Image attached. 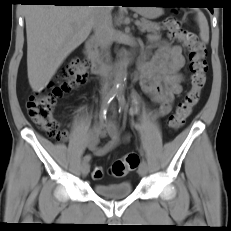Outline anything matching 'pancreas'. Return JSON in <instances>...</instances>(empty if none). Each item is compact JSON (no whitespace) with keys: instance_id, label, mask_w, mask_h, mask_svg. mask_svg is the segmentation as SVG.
Returning a JSON list of instances; mask_svg holds the SVG:
<instances>
[{"instance_id":"obj_1","label":"pancreas","mask_w":231,"mask_h":231,"mask_svg":"<svg viewBox=\"0 0 231 231\" xmlns=\"http://www.w3.org/2000/svg\"><path fill=\"white\" fill-rule=\"evenodd\" d=\"M161 27L159 24L157 23H154V22H151V21H148L146 19H141L140 21V31L141 32H158L160 31Z\"/></svg>"}]
</instances>
